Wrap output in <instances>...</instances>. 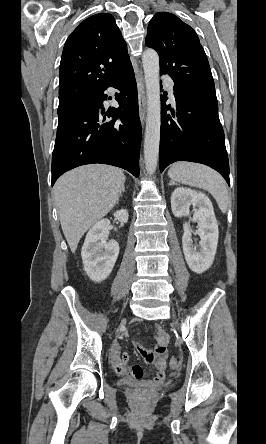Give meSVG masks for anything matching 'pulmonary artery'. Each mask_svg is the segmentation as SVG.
I'll use <instances>...</instances> for the list:
<instances>
[{
    "label": "pulmonary artery",
    "instance_id": "obj_1",
    "mask_svg": "<svg viewBox=\"0 0 266 444\" xmlns=\"http://www.w3.org/2000/svg\"><path fill=\"white\" fill-rule=\"evenodd\" d=\"M164 83L171 95H173V81L170 78H165Z\"/></svg>",
    "mask_w": 266,
    "mask_h": 444
}]
</instances>
